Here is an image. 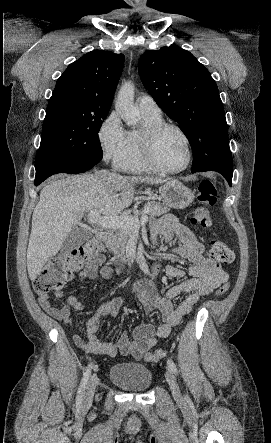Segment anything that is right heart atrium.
Wrapping results in <instances>:
<instances>
[{
    "label": "right heart atrium",
    "instance_id": "1",
    "mask_svg": "<svg viewBox=\"0 0 271 443\" xmlns=\"http://www.w3.org/2000/svg\"><path fill=\"white\" fill-rule=\"evenodd\" d=\"M97 140L103 156L120 166L127 154V134L115 110L100 122Z\"/></svg>",
    "mask_w": 271,
    "mask_h": 443
}]
</instances>
